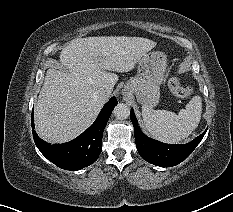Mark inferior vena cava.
<instances>
[{
  "label": "inferior vena cava",
  "instance_id": "602c4592",
  "mask_svg": "<svg viewBox=\"0 0 233 212\" xmlns=\"http://www.w3.org/2000/svg\"><path fill=\"white\" fill-rule=\"evenodd\" d=\"M99 92L104 96H109L111 93V90L108 87H103L99 90Z\"/></svg>",
  "mask_w": 233,
  "mask_h": 212
}]
</instances>
